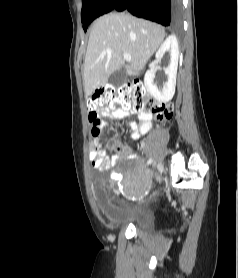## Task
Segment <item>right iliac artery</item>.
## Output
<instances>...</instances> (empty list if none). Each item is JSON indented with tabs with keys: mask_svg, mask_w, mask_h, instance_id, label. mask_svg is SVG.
<instances>
[{
	"mask_svg": "<svg viewBox=\"0 0 238 278\" xmlns=\"http://www.w3.org/2000/svg\"><path fill=\"white\" fill-rule=\"evenodd\" d=\"M152 161H153V160L150 158V159L147 161V165L151 164Z\"/></svg>",
	"mask_w": 238,
	"mask_h": 278,
	"instance_id": "right-iliac-artery-1",
	"label": "right iliac artery"
}]
</instances>
